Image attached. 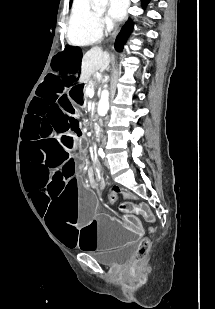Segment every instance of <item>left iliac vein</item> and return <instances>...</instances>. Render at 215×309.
I'll list each match as a JSON object with an SVG mask.
<instances>
[{"label":"left iliac vein","mask_w":215,"mask_h":309,"mask_svg":"<svg viewBox=\"0 0 215 309\" xmlns=\"http://www.w3.org/2000/svg\"><path fill=\"white\" fill-rule=\"evenodd\" d=\"M106 166H107V167L109 166L108 160H106Z\"/></svg>","instance_id":"4c4485c4"}]
</instances>
